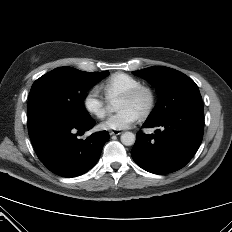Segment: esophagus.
Returning <instances> with one entry per match:
<instances>
[{
    "label": "esophagus",
    "mask_w": 232,
    "mask_h": 232,
    "mask_svg": "<svg viewBox=\"0 0 232 232\" xmlns=\"http://www.w3.org/2000/svg\"><path fill=\"white\" fill-rule=\"evenodd\" d=\"M122 132L120 130H111L109 131L110 135H120Z\"/></svg>",
    "instance_id": "1"
}]
</instances>
